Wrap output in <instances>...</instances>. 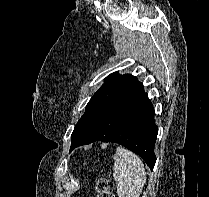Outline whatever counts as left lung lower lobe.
Wrapping results in <instances>:
<instances>
[{"label": "left lung lower lobe", "instance_id": "left-lung-lower-lobe-1", "mask_svg": "<svg viewBox=\"0 0 209 197\" xmlns=\"http://www.w3.org/2000/svg\"><path fill=\"white\" fill-rule=\"evenodd\" d=\"M157 134L153 105L138 82L102 112L70 151L95 141L115 142L140 155L152 171Z\"/></svg>", "mask_w": 209, "mask_h": 197}]
</instances>
